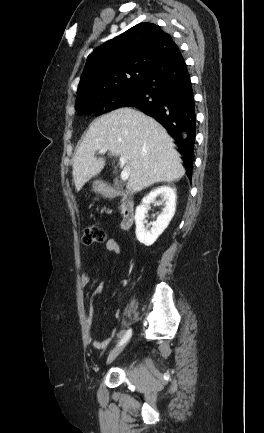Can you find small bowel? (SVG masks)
Returning <instances> with one entry per match:
<instances>
[{
  "instance_id": "obj_1",
  "label": "small bowel",
  "mask_w": 264,
  "mask_h": 433,
  "mask_svg": "<svg viewBox=\"0 0 264 433\" xmlns=\"http://www.w3.org/2000/svg\"><path fill=\"white\" fill-rule=\"evenodd\" d=\"M105 246H106V249L109 252L113 253V254L118 255V254L121 253V247H120L119 243L116 240H114V239H108L106 241V243H105ZM89 282H90V275H89V273L86 272V271H83L81 273V283H82V285L86 286V285L89 284ZM103 291H104V285L100 284L96 288L95 294L96 295L102 294ZM92 323H93V315H92V310H90L89 313L86 316V324H87L88 327H91ZM116 334H117L116 329L111 330L110 333H109V337L107 339H105V340H94L92 342L93 347L95 349H98V350H102V349L107 348V346L114 339V337L116 336Z\"/></svg>"
}]
</instances>
